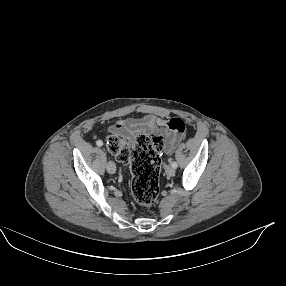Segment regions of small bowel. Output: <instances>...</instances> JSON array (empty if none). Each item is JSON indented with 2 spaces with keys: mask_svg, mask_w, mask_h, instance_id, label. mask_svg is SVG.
<instances>
[{
  "mask_svg": "<svg viewBox=\"0 0 286 286\" xmlns=\"http://www.w3.org/2000/svg\"><path fill=\"white\" fill-rule=\"evenodd\" d=\"M179 119L164 116L144 115L140 118H127L117 121L109 127L111 135L120 136L132 141L140 135L149 136L159 134L164 140L163 149L171 154L183 137V131L177 125Z\"/></svg>",
  "mask_w": 286,
  "mask_h": 286,
  "instance_id": "small-bowel-1",
  "label": "small bowel"
}]
</instances>
